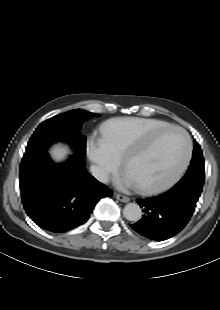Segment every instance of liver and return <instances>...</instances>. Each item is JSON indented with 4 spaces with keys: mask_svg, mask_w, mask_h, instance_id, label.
<instances>
[{
    "mask_svg": "<svg viewBox=\"0 0 220 310\" xmlns=\"http://www.w3.org/2000/svg\"><path fill=\"white\" fill-rule=\"evenodd\" d=\"M50 153L53 159H55L56 161H61L66 158L67 154L69 153V150L66 146L58 144L51 149Z\"/></svg>",
    "mask_w": 220,
    "mask_h": 310,
    "instance_id": "1",
    "label": "liver"
}]
</instances>
